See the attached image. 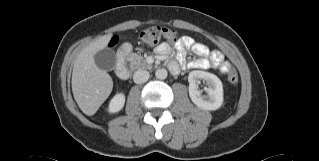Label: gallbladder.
<instances>
[{
    "label": "gallbladder",
    "instance_id": "obj_1",
    "mask_svg": "<svg viewBox=\"0 0 319 161\" xmlns=\"http://www.w3.org/2000/svg\"><path fill=\"white\" fill-rule=\"evenodd\" d=\"M94 60L98 68L104 71L112 70L117 63L115 52L110 48L100 50L94 55Z\"/></svg>",
    "mask_w": 319,
    "mask_h": 161
}]
</instances>
